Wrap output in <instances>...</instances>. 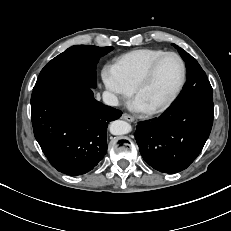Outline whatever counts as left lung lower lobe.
<instances>
[{
    "instance_id": "1",
    "label": "left lung lower lobe",
    "mask_w": 231,
    "mask_h": 231,
    "mask_svg": "<svg viewBox=\"0 0 231 231\" xmlns=\"http://www.w3.org/2000/svg\"><path fill=\"white\" fill-rule=\"evenodd\" d=\"M212 100L174 102L161 116L139 122L135 139L143 159L154 169L177 173L199 155L211 132Z\"/></svg>"
}]
</instances>
